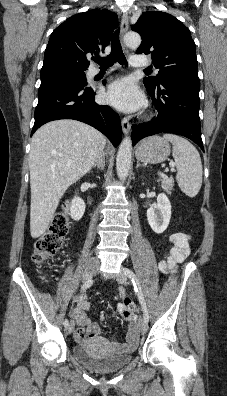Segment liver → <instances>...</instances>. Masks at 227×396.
Listing matches in <instances>:
<instances>
[{
    "label": "liver",
    "instance_id": "liver-1",
    "mask_svg": "<svg viewBox=\"0 0 227 396\" xmlns=\"http://www.w3.org/2000/svg\"><path fill=\"white\" fill-rule=\"evenodd\" d=\"M105 136L79 121L63 119L40 127L29 154L32 238L45 233L65 191L91 170Z\"/></svg>",
    "mask_w": 227,
    "mask_h": 396
}]
</instances>
